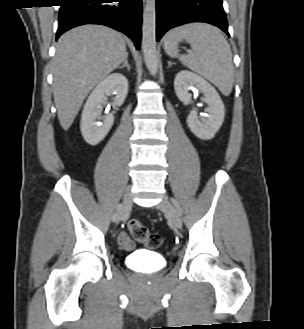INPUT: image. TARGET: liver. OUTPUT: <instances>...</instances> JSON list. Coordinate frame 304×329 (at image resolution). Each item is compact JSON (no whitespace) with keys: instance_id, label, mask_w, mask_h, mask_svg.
<instances>
[{"instance_id":"obj_1","label":"liver","mask_w":304,"mask_h":329,"mask_svg":"<svg viewBox=\"0 0 304 329\" xmlns=\"http://www.w3.org/2000/svg\"><path fill=\"white\" fill-rule=\"evenodd\" d=\"M128 55L123 35L102 25L63 34L53 60V94L61 127L68 130L88 93Z\"/></svg>"}]
</instances>
